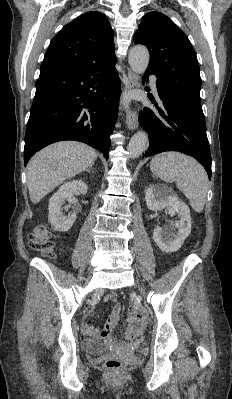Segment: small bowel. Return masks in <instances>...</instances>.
Segmentation results:
<instances>
[{
	"label": "small bowel",
	"mask_w": 232,
	"mask_h": 399,
	"mask_svg": "<svg viewBox=\"0 0 232 399\" xmlns=\"http://www.w3.org/2000/svg\"><path fill=\"white\" fill-rule=\"evenodd\" d=\"M105 300L107 301H115L116 300V295L111 293L105 297ZM121 313V308L120 306H114L112 310V318L111 320L105 324L104 326H90L89 324L85 322H77L76 327L82 331L89 332V333H108L111 330L114 329L115 324L120 316Z\"/></svg>",
	"instance_id": "1"
}]
</instances>
